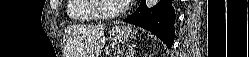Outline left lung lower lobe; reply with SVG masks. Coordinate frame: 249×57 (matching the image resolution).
<instances>
[{
    "label": "left lung lower lobe",
    "instance_id": "0a47b994",
    "mask_svg": "<svg viewBox=\"0 0 249 57\" xmlns=\"http://www.w3.org/2000/svg\"><path fill=\"white\" fill-rule=\"evenodd\" d=\"M175 19L172 0H161L150 10H147L145 0H141L139 8L123 21L149 30L171 48L175 35Z\"/></svg>",
    "mask_w": 249,
    "mask_h": 57
}]
</instances>
